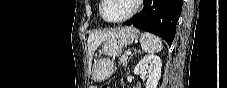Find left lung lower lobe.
Returning a JSON list of instances; mask_svg holds the SVG:
<instances>
[{
	"label": "left lung lower lobe",
	"instance_id": "left-lung-lower-lobe-1",
	"mask_svg": "<svg viewBox=\"0 0 227 88\" xmlns=\"http://www.w3.org/2000/svg\"><path fill=\"white\" fill-rule=\"evenodd\" d=\"M182 4L183 0H144L142 11L124 25L156 34L171 46Z\"/></svg>",
	"mask_w": 227,
	"mask_h": 88
}]
</instances>
